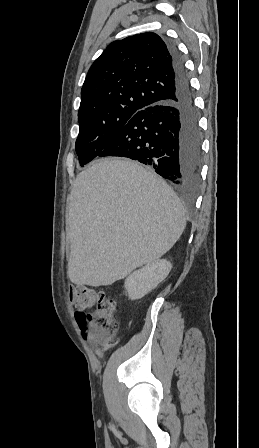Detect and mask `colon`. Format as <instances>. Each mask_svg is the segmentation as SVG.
I'll return each mask as SVG.
<instances>
[{
	"mask_svg": "<svg viewBox=\"0 0 259 448\" xmlns=\"http://www.w3.org/2000/svg\"><path fill=\"white\" fill-rule=\"evenodd\" d=\"M72 295L79 309L76 321L84 337L95 342L100 348L112 347L118 332V307L115 301L103 291L86 285H77Z\"/></svg>",
	"mask_w": 259,
	"mask_h": 448,
	"instance_id": "5ec220e1",
	"label": "colon"
}]
</instances>
